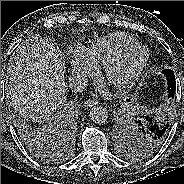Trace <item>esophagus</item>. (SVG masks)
<instances>
[{
  "label": "esophagus",
  "instance_id": "1",
  "mask_svg": "<svg viewBox=\"0 0 184 184\" xmlns=\"http://www.w3.org/2000/svg\"><path fill=\"white\" fill-rule=\"evenodd\" d=\"M97 104V101L94 99H89L84 103L85 108H90Z\"/></svg>",
  "mask_w": 184,
  "mask_h": 184
}]
</instances>
